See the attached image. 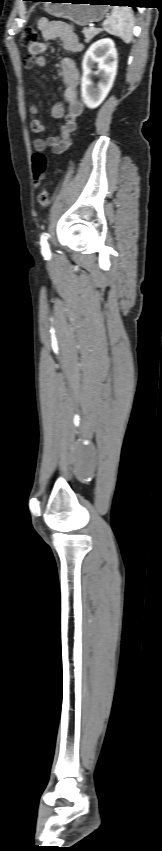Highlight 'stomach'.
Segmentation results:
<instances>
[{
  "label": "stomach",
  "instance_id": "obj_1",
  "mask_svg": "<svg viewBox=\"0 0 162 851\" xmlns=\"http://www.w3.org/2000/svg\"><path fill=\"white\" fill-rule=\"evenodd\" d=\"M107 0H51L44 7L52 16L68 19L85 26L104 18L109 6Z\"/></svg>",
  "mask_w": 162,
  "mask_h": 851
}]
</instances>
